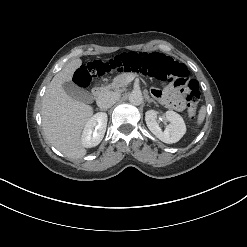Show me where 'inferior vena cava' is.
<instances>
[{
    "instance_id": "obj_1",
    "label": "inferior vena cava",
    "mask_w": 247,
    "mask_h": 247,
    "mask_svg": "<svg viewBox=\"0 0 247 247\" xmlns=\"http://www.w3.org/2000/svg\"><path fill=\"white\" fill-rule=\"evenodd\" d=\"M118 100H119V94L114 92H107L99 96L97 100V105L101 109L105 110L110 108Z\"/></svg>"
}]
</instances>
